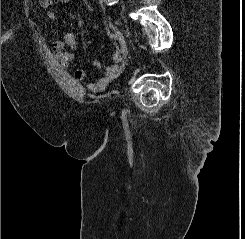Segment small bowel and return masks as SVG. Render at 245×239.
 Returning <instances> with one entry per match:
<instances>
[{
	"label": "small bowel",
	"instance_id": "1",
	"mask_svg": "<svg viewBox=\"0 0 245 239\" xmlns=\"http://www.w3.org/2000/svg\"><path fill=\"white\" fill-rule=\"evenodd\" d=\"M70 0H40V5L44 9H50L55 4H67ZM48 15L51 19L55 18V13L53 11H49ZM67 45L71 51H65L64 46ZM79 48V42L77 39V35L73 32L66 34L64 41H61L57 38L53 41V50L55 56L63 69H68L73 61L76 59L77 54L76 50ZM121 62V54L118 51L112 56V64L105 67L102 75L95 81L90 82L87 85V89L93 93H99L104 91L108 85L116 79L122 73V65ZM91 65L95 69H101L102 63L98 59H93L91 61ZM72 78L75 82L80 83L85 79V72L81 69H76Z\"/></svg>",
	"mask_w": 245,
	"mask_h": 239
}]
</instances>
